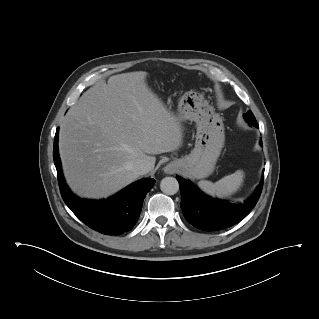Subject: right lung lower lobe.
I'll return each mask as SVG.
<instances>
[{
	"label": "right lung lower lobe",
	"instance_id": "right-lung-lower-lobe-1",
	"mask_svg": "<svg viewBox=\"0 0 319 319\" xmlns=\"http://www.w3.org/2000/svg\"><path fill=\"white\" fill-rule=\"evenodd\" d=\"M58 130L54 138L53 157L62 198L71 211L87 226L107 235L128 232L136 224L143 200L155 184L154 179L139 180L107 200H82L67 187L58 153Z\"/></svg>",
	"mask_w": 319,
	"mask_h": 319
}]
</instances>
